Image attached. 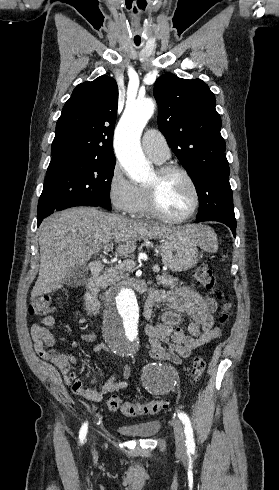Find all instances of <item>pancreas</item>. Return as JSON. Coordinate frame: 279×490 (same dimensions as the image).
<instances>
[{
  "mask_svg": "<svg viewBox=\"0 0 279 490\" xmlns=\"http://www.w3.org/2000/svg\"><path fill=\"white\" fill-rule=\"evenodd\" d=\"M135 270V264H122V266H113V268H107L103 276L99 278L98 286L100 288H107V286H114L117 282H120L121 278L129 276V272ZM157 284H162L164 288H176L179 282L178 278H172L168 276L167 272H163L162 276H157Z\"/></svg>",
  "mask_w": 279,
  "mask_h": 490,
  "instance_id": "cf45deb5",
  "label": "pancreas"
}]
</instances>
